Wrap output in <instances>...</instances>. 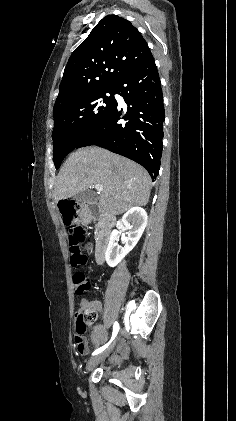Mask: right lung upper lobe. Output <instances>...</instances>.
Here are the masks:
<instances>
[{"label": "right lung upper lobe", "mask_w": 236, "mask_h": 421, "mask_svg": "<svg viewBox=\"0 0 236 421\" xmlns=\"http://www.w3.org/2000/svg\"><path fill=\"white\" fill-rule=\"evenodd\" d=\"M151 56L131 22L104 17L69 58L54 110L76 97L115 88L117 80Z\"/></svg>", "instance_id": "obj_1"}]
</instances>
